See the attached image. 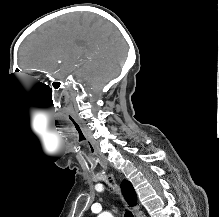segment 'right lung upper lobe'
<instances>
[{
  "label": "right lung upper lobe",
  "instance_id": "1",
  "mask_svg": "<svg viewBox=\"0 0 219 217\" xmlns=\"http://www.w3.org/2000/svg\"><path fill=\"white\" fill-rule=\"evenodd\" d=\"M122 192L130 206L136 205L137 195L134 191L132 184L129 181L124 180L121 184Z\"/></svg>",
  "mask_w": 219,
  "mask_h": 217
}]
</instances>
